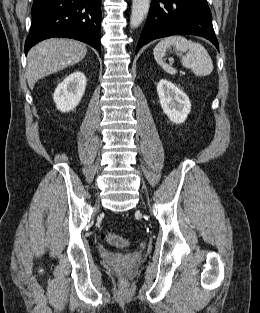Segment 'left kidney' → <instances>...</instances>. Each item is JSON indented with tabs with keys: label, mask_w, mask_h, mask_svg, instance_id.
<instances>
[{
	"label": "left kidney",
	"mask_w": 260,
	"mask_h": 313,
	"mask_svg": "<svg viewBox=\"0 0 260 313\" xmlns=\"http://www.w3.org/2000/svg\"><path fill=\"white\" fill-rule=\"evenodd\" d=\"M157 93L163 112L175 124L183 123L191 110L188 96L166 79L157 84Z\"/></svg>",
	"instance_id": "5707ae66"
}]
</instances>
